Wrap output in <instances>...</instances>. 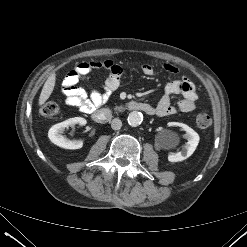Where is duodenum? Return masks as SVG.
<instances>
[{
	"label": "duodenum",
	"mask_w": 247,
	"mask_h": 247,
	"mask_svg": "<svg viewBox=\"0 0 247 247\" xmlns=\"http://www.w3.org/2000/svg\"><path fill=\"white\" fill-rule=\"evenodd\" d=\"M125 111H140L147 115L156 114L155 107L149 103L129 101L125 104L117 106L114 110L109 108L98 109L93 112L92 117L97 123L104 124L112 119L114 113H123Z\"/></svg>",
	"instance_id": "obj_1"
}]
</instances>
